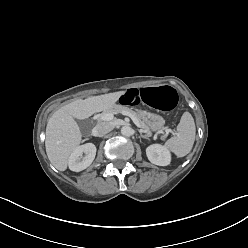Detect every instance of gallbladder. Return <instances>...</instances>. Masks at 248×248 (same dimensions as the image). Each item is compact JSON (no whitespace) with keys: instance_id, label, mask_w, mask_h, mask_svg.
I'll return each mask as SVG.
<instances>
[{"instance_id":"obj_1","label":"gallbladder","mask_w":248,"mask_h":248,"mask_svg":"<svg viewBox=\"0 0 248 248\" xmlns=\"http://www.w3.org/2000/svg\"><path fill=\"white\" fill-rule=\"evenodd\" d=\"M77 123L83 132H87L89 130L90 122L88 120H78Z\"/></svg>"}]
</instances>
